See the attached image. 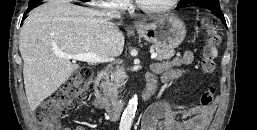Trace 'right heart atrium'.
<instances>
[{"instance_id": "right-heart-atrium-1", "label": "right heart atrium", "mask_w": 257, "mask_h": 130, "mask_svg": "<svg viewBox=\"0 0 257 130\" xmlns=\"http://www.w3.org/2000/svg\"><path fill=\"white\" fill-rule=\"evenodd\" d=\"M130 2L131 0H104L100 3L108 7L124 9L129 6Z\"/></svg>"}]
</instances>
